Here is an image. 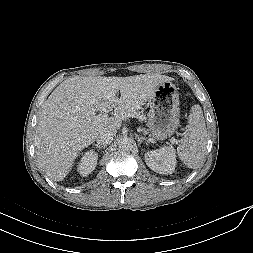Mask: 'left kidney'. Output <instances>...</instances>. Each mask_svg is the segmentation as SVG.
<instances>
[{
    "label": "left kidney",
    "instance_id": "1",
    "mask_svg": "<svg viewBox=\"0 0 253 253\" xmlns=\"http://www.w3.org/2000/svg\"><path fill=\"white\" fill-rule=\"evenodd\" d=\"M147 166L159 174H172L176 167V155L172 147H162L145 153Z\"/></svg>",
    "mask_w": 253,
    "mask_h": 253
}]
</instances>
